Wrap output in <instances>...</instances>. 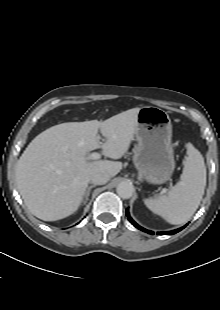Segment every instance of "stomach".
Segmentation results:
<instances>
[{
    "mask_svg": "<svg viewBox=\"0 0 220 310\" xmlns=\"http://www.w3.org/2000/svg\"><path fill=\"white\" fill-rule=\"evenodd\" d=\"M135 137L133 162L138 172L151 184L168 181L175 169V160L172 124L167 112L154 106L140 108Z\"/></svg>",
    "mask_w": 220,
    "mask_h": 310,
    "instance_id": "0dacf381",
    "label": "stomach"
}]
</instances>
